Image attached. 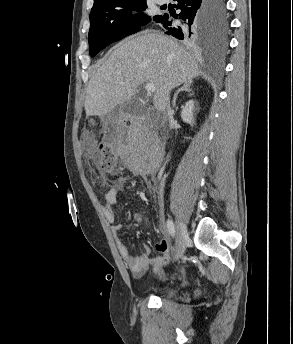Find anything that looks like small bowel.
Returning <instances> with one entry per match:
<instances>
[{
    "instance_id": "small-bowel-1",
    "label": "small bowel",
    "mask_w": 293,
    "mask_h": 344,
    "mask_svg": "<svg viewBox=\"0 0 293 344\" xmlns=\"http://www.w3.org/2000/svg\"><path fill=\"white\" fill-rule=\"evenodd\" d=\"M120 190L121 184L117 183L107 191L105 194L103 213L106 221L111 224V232L115 245L131 275L134 278H141L146 273L149 266H152L156 271L161 269L171 258V248L168 239L166 237H162L156 246L157 250L161 252V255L151 257L150 248L146 244L143 246V254L135 255L131 253L127 245L119 236L121 224L116 223V212L114 210V205L118 202ZM160 231L163 233L162 229H160Z\"/></svg>"
}]
</instances>
